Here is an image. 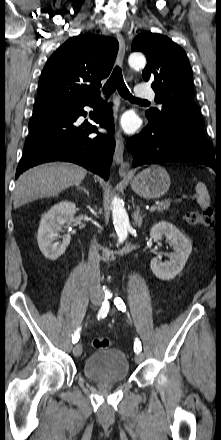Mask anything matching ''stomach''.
<instances>
[{"mask_svg":"<svg viewBox=\"0 0 221 440\" xmlns=\"http://www.w3.org/2000/svg\"><path fill=\"white\" fill-rule=\"evenodd\" d=\"M169 187V174L159 165L149 166L131 180L132 190L145 199L159 198L169 190Z\"/></svg>","mask_w":221,"mask_h":440,"instance_id":"obj_1","label":"stomach"}]
</instances>
